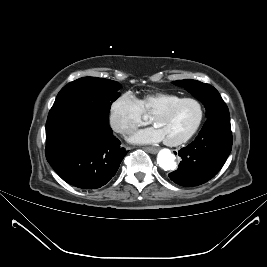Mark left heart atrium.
I'll return each instance as SVG.
<instances>
[{"label": "left heart atrium", "mask_w": 267, "mask_h": 267, "mask_svg": "<svg viewBox=\"0 0 267 267\" xmlns=\"http://www.w3.org/2000/svg\"><path fill=\"white\" fill-rule=\"evenodd\" d=\"M163 139V134L157 127L140 130L131 137V141L135 143H156Z\"/></svg>", "instance_id": "obj_1"}]
</instances>
